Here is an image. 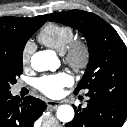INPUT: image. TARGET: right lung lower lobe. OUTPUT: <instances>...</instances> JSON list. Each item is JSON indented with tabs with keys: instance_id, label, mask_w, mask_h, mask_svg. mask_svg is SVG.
Segmentation results:
<instances>
[{
	"instance_id": "right-lung-lower-lobe-1",
	"label": "right lung lower lobe",
	"mask_w": 127,
	"mask_h": 127,
	"mask_svg": "<svg viewBox=\"0 0 127 127\" xmlns=\"http://www.w3.org/2000/svg\"><path fill=\"white\" fill-rule=\"evenodd\" d=\"M45 109V102L32 96L0 95V127H33Z\"/></svg>"
}]
</instances>
